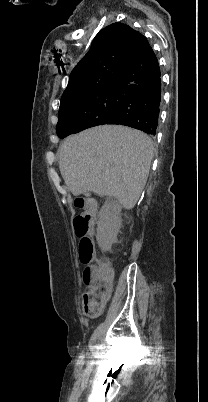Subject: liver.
<instances>
[{"mask_svg": "<svg viewBox=\"0 0 208 402\" xmlns=\"http://www.w3.org/2000/svg\"><path fill=\"white\" fill-rule=\"evenodd\" d=\"M58 156L61 176L73 196H113L131 210L147 182L153 142L126 126H97L68 136Z\"/></svg>", "mask_w": 208, "mask_h": 402, "instance_id": "liver-1", "label": "liver"}]
</instances>
